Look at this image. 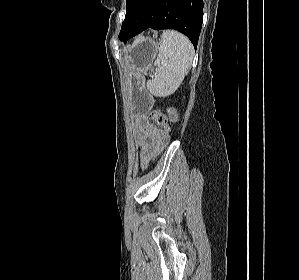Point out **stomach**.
I'll list each match as a JSON object with an SVG mask.
<instances>
[{"label":"stomach","mask_w":299,"mask_h":280,"mask_svg":"<svg viewBox=\"0 0 299 280\" xmlns=\"http://www.w3.org/2000/svg\"><path fill=\"white\" fill-rule=\"evenodd\" d=\"M158 51V44L151 38L140 37L128 48L125 60L130 70L129 97L134 114L145 112L150 96L144 88L142 73L151 68Z\"/></svg>","instance_id":"1"}]
</instances>
